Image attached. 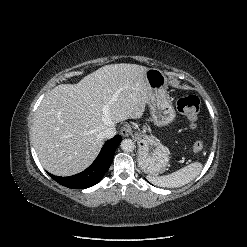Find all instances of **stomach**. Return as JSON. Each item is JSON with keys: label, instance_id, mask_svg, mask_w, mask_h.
<instances>
[{"label": "stomach", "instance_id": "obj_1", "mask_svg": "<svg viewBox=\"0 0 247 247\" xmlns=\"http://www.w3.org/2000/svg\"><path fill=\"white\" fill-rule=\"evenodd\" d=\"M145 80L149 88V107L153 123L157 127L170 124L176 117V112L167 92V77L156 68H148ZM138 162L140 168L149 175H157L165 171L170 152L155 138L138 135Z\"/></svg>", "mask_w": 247, "mask_h": 247}]
</instances>
